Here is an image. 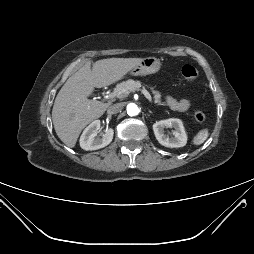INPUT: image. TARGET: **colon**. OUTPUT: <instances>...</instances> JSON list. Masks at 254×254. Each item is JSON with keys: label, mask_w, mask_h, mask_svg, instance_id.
<instances>
[{"label": "colon", "mask_w": 254, "mask_h": 254, "mask_svg": "<svg viewBox=\"0 0 254 254\" xmlns=\"http://www.w3.org/2000/svg\"><path fill=\"white\" fill-rule=\"evenodd\" d=\"M181 77L184 81L193 82L198 78V71L195 67L191 65H185L181 69ZM205 117V113L201 110H196L194 112V118L198 122H203L205 120Z\"/></svg>", "instance_id": "5ec220e1"}]
</instances>
